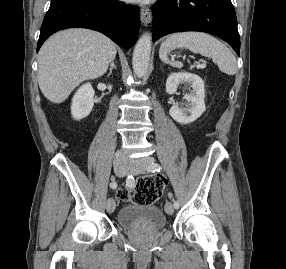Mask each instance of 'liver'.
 <instances>
[{"mask_svg": "<svg viewBox=\"0 0 286 269\" xmlns=\"http://www.w3.org/2000/svg\"><path fill=\"white\" fill-rule=\"evenodd\" d=\"M105 35L88 29H67L50 37L38 57V83L52 103L64 102L83 81L104 75L116 56Z\"/></svg>", "mask_w": 286, "mask_h": 269, "instance_id": "obj_1", "label": "liver"}]
</instances>
